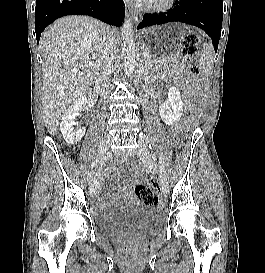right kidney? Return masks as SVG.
<instances>
[{"label": "right kidney", "mask_w": 265, "mask_h": 273, "mask_svg": "<svg viewBox=\"0 0 265 273\" xmlns=\"http://www.w3.org/2000/svg\"><path fill=\"white\" fill-rule=\"evenodd\" d=\"M87 98L85 96L79 97L66 110L62 117L60 130L64 140L69 145L77 144L85 135L86 128L74 129L75 119L80 115V111L86 106Z\"/></svg>", "instance_id": "1"}]
</instances>
